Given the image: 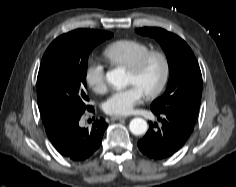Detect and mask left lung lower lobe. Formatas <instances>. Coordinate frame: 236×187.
Segmentation results:
<instances>
[{"label": "left lung lower lobe", "instance_id": "1", "mask_svg": "<svg viewBox=\"0 0 236 187\" xmlns=\"http://www.w3.org/2000/svg\"><path fill=\"white\" fill-rule=\"evenodd\" d=\"M153 113L162 122V127H158L152 122L146 135L138 141V147L142 153L149 158L159 160L164 159L177 152L186 142L194 129L193 122L181 116L171 113Z\"/></svg>", "mask_w": 236, "mask_h": 187}]
</instances>
